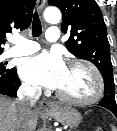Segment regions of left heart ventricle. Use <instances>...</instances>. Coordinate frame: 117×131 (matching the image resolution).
Listing matches in <instances>:
<instances>
[{"label": "left heart ventricle", "mask_w": 117, "mask_h": 131, "mask_svg": "<svg viewBox=\"0 0 117 131\" xmlns=\"http://www.w3.org/2000/svg\"><path fill=\"white\" fill-rule=\"evenodd\" d=\"M95 89L92 75L82 67H67L65 78L57 89L61 93L73 98H87Z\"/></svg>", "instance_id": "1"}]
</instances>
